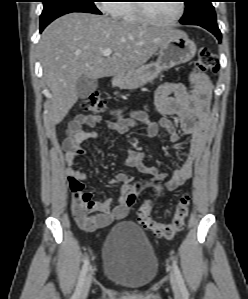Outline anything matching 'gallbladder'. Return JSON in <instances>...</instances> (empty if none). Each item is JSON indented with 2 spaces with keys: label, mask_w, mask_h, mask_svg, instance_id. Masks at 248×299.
Instances as JSON below:
<instances>
[{
  "label": "gallbladder",
  "mask_w": 248,
  "mask_h": 299,
  "mask_svg": "<svg viewBox=\"0 0 248 299\" xmlns=\"http://www.w3.org/2000/svg\"><path fill=\"white\" fill-rule=\"evenodd\" d=\"M97 86H98L97 79L88 78L82 75L77 80L75 89L78 97L80 99H85L97 89Z\"/></svg>",
  "instance_id": "1"
}]
</instances>
